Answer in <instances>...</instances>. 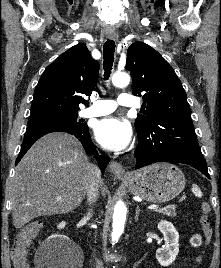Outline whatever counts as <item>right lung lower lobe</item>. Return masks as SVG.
<instances>
[{
  "mask_svg": "<svg viewBox=\"0 0 221 268\" xmlns=\"http://www.w3.org/2000/svg\"><path fill=\"white\" fill-rule=\"evenodd\" d=\"M51 132H66L74 135L83 145L86 152L90 155L96 154L97 151L91 141L89 128L86 127H71L62 124L41 123L30 125L27 127L26 134L21 146L20 153L16 159L15 165L19 163L28 149L37 141L40 137ZM98 164L101 172L104 173L105 167L110 161L109 157L98 156Z\"/></svg>",
  "mask_w": 221,
  "mask_h": 268,
  "instance_id": "98d812e1",
  "label": "right lung lower lobe"
}]
</instances>
